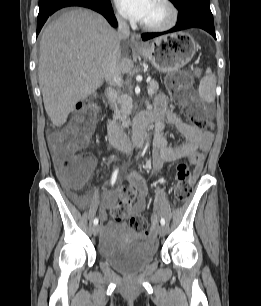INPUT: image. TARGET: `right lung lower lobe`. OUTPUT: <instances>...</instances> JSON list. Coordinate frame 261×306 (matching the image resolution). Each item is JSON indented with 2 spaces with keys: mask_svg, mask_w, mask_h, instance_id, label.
<instances>
[{
  "mask_svg": "<svg viewBox=\"0 0 261 306\" xmlns=\"http://www.w3.org/2000/svg\"><path fill=\"white\" fill-rule=\"evenodd\" d=\"M67 6H83L101 13L108 22L117 27L110 1L104 0H39V14L37 18V35L42 26L55 11Z\"/></svg>",
  "mask_w": 261,
  "mask_h": 306,
  "instance_id": "obj_1",
  "label": "right lung lower lobe"
}]
</instances>
